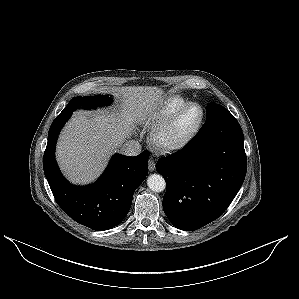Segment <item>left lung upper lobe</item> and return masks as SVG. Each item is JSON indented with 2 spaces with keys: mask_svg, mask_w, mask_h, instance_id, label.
Here are the masks:
<instances>
[{
  "mask_svg": "<svg viewBox=\"0 0 299 299\" xmlns=\"http://www.w3.org/2000/svg\"><path fill=\"white\" fill-rule=\"evenodd\" d=\"M206 114H207L206 122L202 126L198 134L203 133L207 128L212 126L222 117L227 116L231 113L222 105L210 103L206 107Z\"/></svg>",
  "mask_w": 299,
  "mask_h": 299,
  "instance_id": "obj_1",
  "label": "left lung upper lobe"
}]
</instances>
